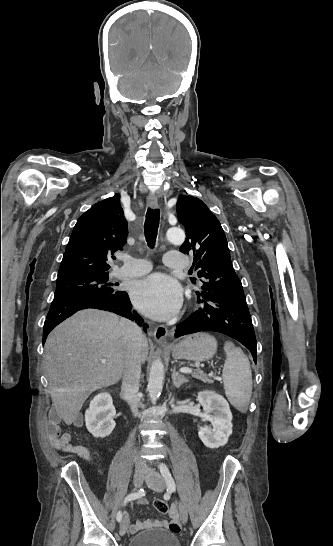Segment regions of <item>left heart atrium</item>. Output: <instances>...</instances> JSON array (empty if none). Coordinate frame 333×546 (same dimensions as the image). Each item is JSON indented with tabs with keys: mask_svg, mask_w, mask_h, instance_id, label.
<instances>
[{
	"mask_svg": "<svg viewBox=\"0 0 333 546\" xmlns=\"http://www.w3.org/2000/svg\"><path fill=\"white\" fill-rule=\"evenodd\" d=\"M134 305L156 320H168L181 307L182 292L176 281L163 273H154L131 286Z\"/></svg>",
	"mask_w": 333,
	"mask_h": 546,
	"instance_id": "1",
	"label": "left heart atrium"
}]
</instances>
